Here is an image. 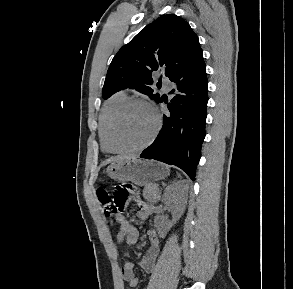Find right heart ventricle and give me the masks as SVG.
I'll return each instance as SVG.
<instances>
[{
  "label": "right heart ventricle",
  "mask_w": 293,
  "mask_h": 289,
  "mask_svg": "<svg viewBox=\"0 0 293 289\" xmlns=\"http://www.w3.org/2000/svg\"><path fill=\"white\" fill-rule=\"evenodd\" d=\"M128 100V96L124 91H119L115 93L104 105L98 124V135L101 147L104 152L111 153L108 150V145L106 141V134L109 126L110 119L112 118L115 111Z\"/></svg>",
  "instance_id": "1"
}]
</instances>
